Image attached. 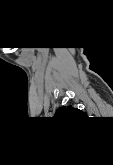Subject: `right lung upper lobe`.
Returning <instances> with one entry per match:
<instances>
[{"label":"right lung upper lobe","instance_id":"obj_1","mask_svg":"<svg viewBox=\"0 0 113 165\" xmlns=\"http://www.w3.org/2000/svg\"><path fill=\"white\" fill-rule=\"evenodd\" d=\"M56 116L71 119L75 118L76 116H85V113L78 108H73L71 105H69L59 108L56 112Z\"/></svg>","mask_w":113,"mask_h":165}]
</instances>
